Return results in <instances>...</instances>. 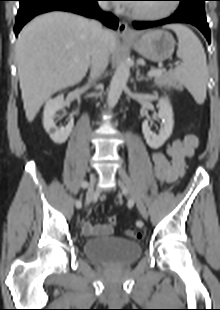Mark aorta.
I'll return each mask as SVG.
<instances>
[{"label": "aorta", "mask_w": 220, "mask_h": 310, "mask_svg": "<svg viewBox=\"0 0 220 310\" xmlns=\"http://www.w3.org/2000/svg\"><path fill=\"white\" fill-rule=\"evenodd\" d=\"M129 72L130 67L127 61H122L116 68L107 96V104L110 108L117 104L123 89L126 87L129 78Z\"/></svg>", "instance_id": "obj_1"}]
</instances>
